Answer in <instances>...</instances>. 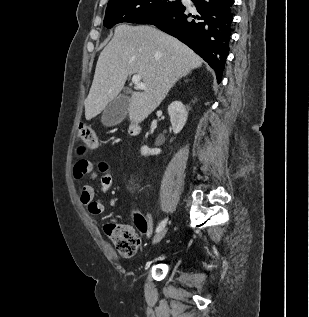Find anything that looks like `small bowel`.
I'll return each mask as SVG.
<instances>
[{
  "instance_id": "c3829d8e",
  "label": "small bowel",
  "mask_w": 309,
  "mask_h": 317,
  "mask_svg": "<svg viewBox=\"0 0 309 317\" xmlns=\"http://www.w3.org/2000/svg\"><path fill=\"white\" fill-rule=\"evenodd\" d=\"M99 172L102 173L100 176L101 193L105 194L109 191L113 183V177L107 170L105 163H100L97 169L90 160L80 157L74 163L72 170L73 177L76 180H80L85 176L96 179L99 177ZM79 200L87 207L91 215L101 214L104 210L103 200L101 197H97L95 187L91 183H87L81 188Z\"/></svg>"
}]
</instances>
